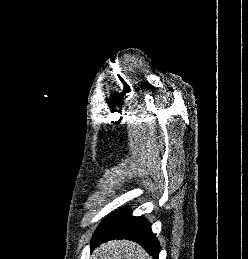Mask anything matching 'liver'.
<instances>
[{
  "label": "liver",
  "mask_w": 248,
  "mask_h": 259,
  "mask_svg": "<svg viewBox=\"0 0 248 259\" xmlns=\"http://www.w3.org/2000/svg\"><path fill=\"white\" fill-rule=\"evenodd\" d=\"M91 259H152L139 244L128 240H111L101 244Z\"/></svg>",
  "instance_id": "1"
}]
</instances>
